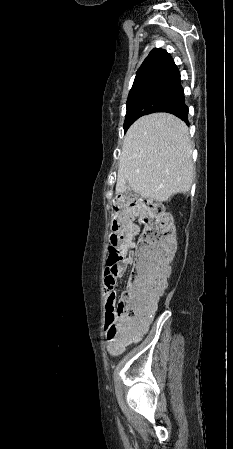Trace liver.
Listing matches in <instances>:
<instances>
[{"label":"liver","mask_w":233,"mask_h":449,"mask_svg":"<svg viewBox=\"0 0 233 449\" xmlns=\"http://www.w3.org/2000/svg\"><path fill=\"white\" fill-rule=\"evenodd\" d=\"M187 125L168 113L138 119L122 146L116 193L132 190L144 198L165 202L190 190L195 167Z\"/></svg>","instance_id":"liver-1"}]
</instances>
